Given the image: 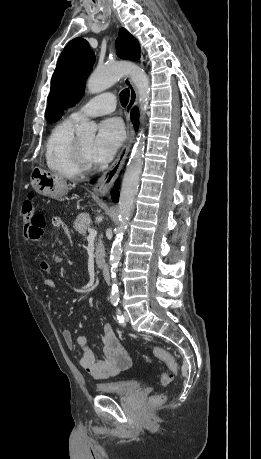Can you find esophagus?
<instances>
[{
  "label": "esophagus",
  "mask_w": 261,
  "mask_h": 459,
  "mask_svg": "<svg viewBox=\"0 0 261 459\" xmlns=\"http://www.w3.org/2000/svg\"><path fill=\"white\" fill-rule=\"evenodd\" d=\"M124 83L126 87L130 91L129 95V102L127 105V125H126V139L123 144L122 149L120 150L117 158L114 162L110 165V167L102 174V176L97 181L96 185L93 188V192L98 196H105L111 187L113 186L114 182L118 178L120 171L122 170L125 160L128 156L130 148L132 146L134 140V129L133 124L130 119V114L132 109L136 106L138 101V94L137 90L132 83L129 77L124 79Z\"/></svg>",
  "instance_id": "obj_1"
}]
</instances>
